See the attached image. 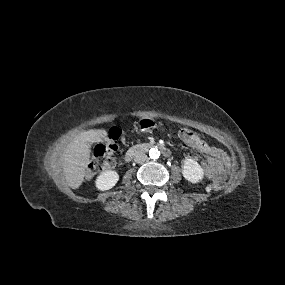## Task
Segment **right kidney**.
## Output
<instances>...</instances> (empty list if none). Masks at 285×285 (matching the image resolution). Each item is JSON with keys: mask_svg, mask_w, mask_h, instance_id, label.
<instances>
[{"mask_svg": "<svg viewBox=\"0 0 285 285\" xmlns=\"http://www.w3.org/2000/svg\"><path fill=\"white\" fill-rule=\"evenodd\" d=\"M118 180L116 171H104L97 177L95 184L98 190L105 191L113 188Z\"/></svg>", "mask_w": 285, "mask_h": 285, "instance_id": "ca27d5eb", "label": "right kidney"}]
</instances>
